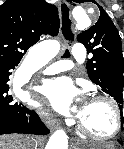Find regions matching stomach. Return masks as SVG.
Returning a JSON list of instances; mask_svg holds the SVG:
<instances>
[{
    "label": "stomach",
    "mask_w": 124,
    "mask_h": 149,
    "mask_svg": "<svg viewBox=\"0 0 124 149\" xmlns=\"http://www.w3.org/2000/svg\"><path fill=\"white\" fill-rule=\"evenodd\" d=\"M81 149H112L110 145H104V144H100V145H93L90 147H82Z\"/></svg>",
    "instance_id": "1"
}]
</instances>
